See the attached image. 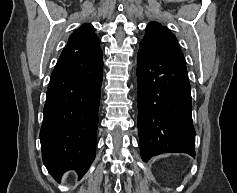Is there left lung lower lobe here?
I'll return each instance as SVG.
<instances>
[{"mask_svg": "<svg viewBox=\"0 0 237 193\" xmlns=\"http://www.w3.org/2000/svg\"><path fill=\"white\" fill-rule=\"evenodd\" d=\"M137 87L142 160L161 153L194 157L195 129L185 62L140 42Z\"/></svg>", "mask_w": 237, "mask_h": 193, "instance_id": "1", "label": "left lung lower lobe"}]
</instances>
